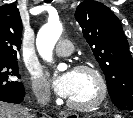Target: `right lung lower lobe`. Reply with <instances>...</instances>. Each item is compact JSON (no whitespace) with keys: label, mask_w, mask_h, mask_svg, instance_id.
Segmentation results:
<instances>
[{"label":"right lung lower lobe","mask_w":133,"mask_h":118,"mask_svg":"<svg viewBox=\"0 0 133 118\" xmlns=\"http://www.w3.org/2000/svg\"><path fill=\"white\" fill-rule=\"evenodd\" d=\"M25 95L24 87H20L11 91H1L0 101L8 103H20Z\"/></svg>","instance_id":"obj_1"}]
</instances>
